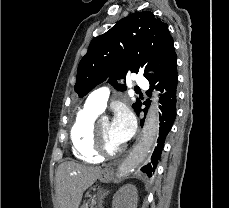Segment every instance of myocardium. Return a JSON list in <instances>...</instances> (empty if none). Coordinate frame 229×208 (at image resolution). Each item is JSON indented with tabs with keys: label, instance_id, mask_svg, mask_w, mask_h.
<instances>
[{
	"label": "myocardium",
	"instance_id": "obj_1",
	"mask_svg": "<svg viewBox=\"0 0 229 208\" xmlns=\"http://www.w3.org/2000/svg\"><path fill=\"white\" fill-rule=\"evenodd\" d=\"M93 135L97 143L92 144V147H93L92 152L97 153L96 154L97 158H103L104 154L109 155V156H115L124 150L123 145L115 147V148H108L107 147L108 141L98 131L97 124L93 125Z\"/></svg>",
	"mask_w": 229,
	"mask_h": 208
}]
</instances>
